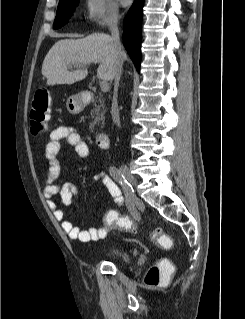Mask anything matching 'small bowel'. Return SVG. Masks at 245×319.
<instances>
[{
    "instance_id": "obj_1",
    "label": "small bowel",
    "mask_w": 245,
    "mask_h": 319,
    "mask_svg": "<svg viewBox=\"0 0 245 319\" xmlns=\"http://www.w3.org/2000/svg\"><path fill=\"white\" fill-rule=\"evenodd\" d=\"M66 144L72 146L76 155L80 158L87 157L89 148L83 136L72 126L62 125L54 129L46 142L45 156L49 162L46 173V179L43 186V195L47 198V204L53 212L55 219L60 223L62 231L72 240L81 242H91L104 239L109 233V227L103 225L98 228H89L81 230L71 221L65 219L64 211L60 209L53 197L60 196L61 202L65 206H70L74 200H78L79 187L72 182L59 183L58 179L61 174V166L58 160V154L62 146ZM93 180L101 182L106 186L109 192H112V180L104 173H97ZM117 206H121L123 201L119 196L111 194Z\"/></svg>"
}]
</instances>
